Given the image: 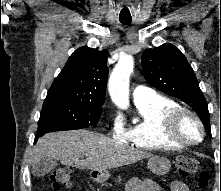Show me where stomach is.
<instances>
[{"label": "stomach", "mask_w": 221, "mask_h": 191, "mask_svg": "<svg viewBox=\"0 0 221 191\" xmlns=\"http://www.w3.org/2000/svg\"><path fill=\"white\" fill-rule=\"evenodd\" d=\"M170 161L165 157L153 156L148 160L149 170L156 175H164L170 169ZM93 178L99 182H106L110 178V174L107 170L104 171H93Z\"/></svg>", "instance_id": "0dacf381"}]
</instances>
